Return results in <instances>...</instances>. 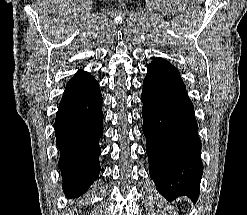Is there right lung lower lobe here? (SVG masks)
I'll return each mask as SVG.
<instances>
[{
	"instance_id": "right-lung-lower-lobe-1",
	"label": "right lung lower lobe",
	"mask_w": 247,
	"mask_h": 215,
	"mask_svg": "<svg viewBox=\"0 0 247 215\" xmlns=\"http://www.w3.org/2000/svg\"><path fill=\"white\" fill-rule=\"evenodd\" d=\"M101 104L98 82L89 73L78 71L67 83L55 120L58 165L68 198L82 195L99 176Z\"/></svg>"
}]
</instances>
